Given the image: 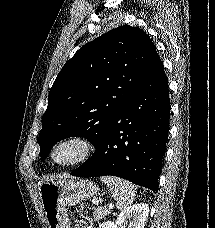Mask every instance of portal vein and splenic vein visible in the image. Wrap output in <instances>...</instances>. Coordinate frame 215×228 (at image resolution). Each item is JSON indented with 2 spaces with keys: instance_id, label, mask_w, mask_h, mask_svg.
Listing matches in <instances>:
<instances>
[{
  "instance_id": "18ae733b",
  "label": "portal vein and splenic vein",
  "mask_w": 215,
  "mask_h": 228,
  "mask_svg": "<svg viewBox=\"0 0 215 228\" xmlns=\"http://www.w3.org/2000/svg\"><path fill=\"white\" fill-rule=\"evenodd\" d=\"M107 208H109V210H113L114 206L113 204H108Z\"/></svg>"
}]
</instances>
